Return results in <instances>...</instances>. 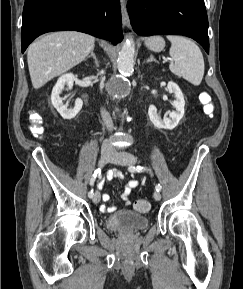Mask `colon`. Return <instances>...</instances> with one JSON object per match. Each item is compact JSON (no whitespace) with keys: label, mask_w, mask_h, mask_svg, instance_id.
Masks as SVG:
<instances>
[{"label":"colon","mask_w":243,"mask_h":289,"mask_svg":"<svg viewBox=\"0 0 243 289\" xmlns=\"http://www.w3.org/2000/svg\"><path fill=\"white\" fill-rule=\"evenodd\" d=\"M201 102L204 105L205 113L212 115L215 107L212 98L208 93L201 94ZM29 130L34 136H42L44 133L43 119L40 114L33 112L29 116ZM134 209L137 212L145 213L150 210V203L146 200H137L134 202Z\"/></svg>","instance_id":"colon-1"}]
</instances>
